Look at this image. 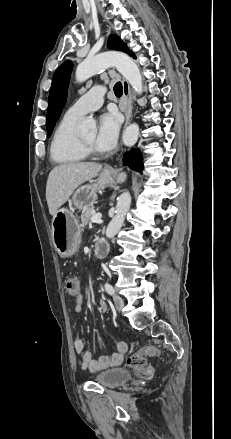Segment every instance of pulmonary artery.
I'll return each mask as SVG.
<instances>
[{
    "label": "pulmonary artery",
    "mask_w": 231,
    "mask_h": 439,
    "mask_svg": "<svg viewBox=\"0 0 231 439\" xmlns=\"http://www.w3.org/2000/svg\"><path fill=\"white\" fill-rule=\"evenodd\" d=\"M105 87L95 86L81 96L66 112L72 118L80 119L85 114L99 109L103 104Z\"/></svg>",
    "instance_id": "1"
}]
</instances>
